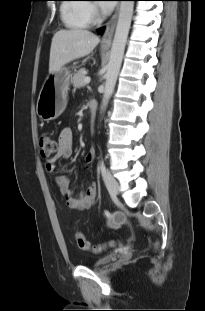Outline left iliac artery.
I'll list each match as a JSON object with an SVG mask.
<instances>
[{"label":"left iliac artery","mask_w":205,"mask_h":311,"mask_svg":"<svg viewBox=\"0 0 205 311\" xmlns=\"http://www.w3.org/2000/svg\"><path fill=\"white\" fill-rule=\"evenodd\" d=\"M100 171H101L102 176L105 177L107 170H106V166L103 160L100 163Z\"/></svg>","instance_id":"left-iliac-artery-1"}]
</instances>
